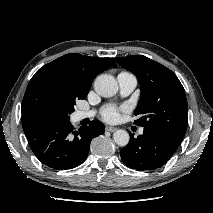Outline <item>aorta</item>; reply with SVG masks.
Wrapping results in <instances>:
<instances>
[{
  "label": "aorta",
  "instance_id": "aorta-1",
  "mask_svg": "<svg viewBox=\"0 0 213 213\" xmlns=\"http://www.w3.org/2000/svg\"><path fill=\"white\" fill-rule=\"evenodd\" d=\"M94 89L102 97H112L118 91V84L113 76L102 74L95 79ZM113 139L117 145L124 147L129 143L130 136L127 131L121 129L113 134Z\"/></svg>",
  "mask_w": 213,
  "mask_h": 213
}]
</instances>
